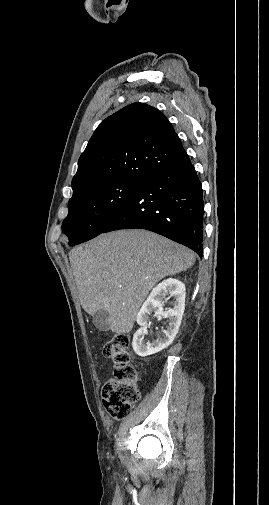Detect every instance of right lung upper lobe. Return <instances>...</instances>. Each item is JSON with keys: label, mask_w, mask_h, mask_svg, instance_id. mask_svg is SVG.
I'll return each mask as SVG.
<instances>
[{"label": "right lung upper lobe", "mask_w": 269, "mask_h": 505, "mask_svg": "<svg viewBox=\"0 0 269 505\" xmlns=\"http://www.w3.org/2000/svg\"><path fill=\"white\" fill-rule=\"evenodd\" d=\"M185 153L169 120L144 103L130 104L97 127L78 161L73 196L108 182L142 183Z\"/></svg>", "instance_id": "cb5924a9"}]
</instances>
